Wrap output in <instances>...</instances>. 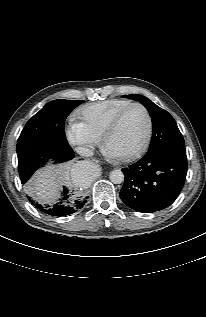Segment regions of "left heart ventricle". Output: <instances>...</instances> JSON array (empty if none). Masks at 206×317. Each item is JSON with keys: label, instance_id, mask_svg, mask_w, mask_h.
I'll use <instances>...</instances> for the list:
<instances>
[{"label": "left heart ventricle", "instance_id": "left-heart-ventricle-1", "mask_svg": "<svg viewBox=\"0 0 206 317\" xmlns=\"http://www.w3.org/2000/svg\"><path fill=\"white\" fill-rule=\"evenodd\" d=\"M146 127L147 121L143 110L135 107L126 114L118 128L110 135L106 147L116 156L126 155L141 145Z\"/></svg>", "mask_w": 206, "mask_h": 317}]
</instances>
